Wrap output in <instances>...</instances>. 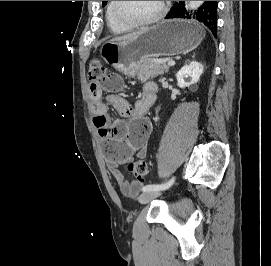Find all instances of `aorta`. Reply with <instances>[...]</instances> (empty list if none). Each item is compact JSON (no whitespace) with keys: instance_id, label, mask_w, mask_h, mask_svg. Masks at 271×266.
Instances as JSON below:
<instances>
[{"instance_id":"aorta-1","label":"aorta","mask_w":271,"mask_h":266,"mask_svg":"<svg viewBox=\"0 0 271 266\" xmlns=\"http://www.w3.org/2000/svg\"><path fill=\"white\" fill-rule=\"evenodd\" d=\"M203 3H204V1H189V3H188V9H189V10H196V9H198Z\"/></svg>"}]
</instances>
